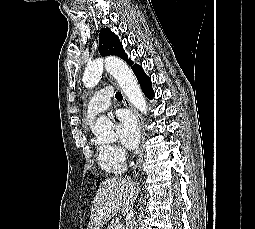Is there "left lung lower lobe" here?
Wrapping results in <instances>:
<instances>
[{"instance_id": "obj_1", "label": "left lung lower lobe", "mask_w": 255, "mask_h": 229, "mask_svg": "<svg viewBox=\"0 0 255 229\" xmlns=\"http://www.w3.org/2000/svg\"><path fill=\"white\" fill-rule=\"evenodd\" d=\"M132 70L137 76V79L145 95L149 99H152L154 97V92L151 87V79L144 73L143 68L137 64L132 66Z\"/></svg>"}]
</instances>
